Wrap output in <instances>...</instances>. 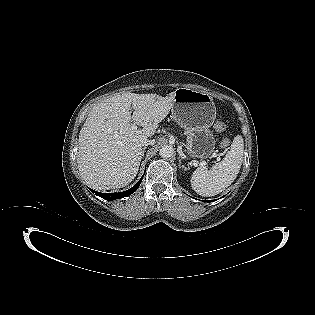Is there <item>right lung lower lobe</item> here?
Returning <instances> with one entry per match:
<instances>
[{
  "label": "right lung lower lobe",
  "mask_w": 315,
  "mask_h": 315,
  "mask_svg": "<svg viewBox=\"0 0 315 315\" xmlns=\"http://www.w3.org/2000/svg\"><path fill=\"white\" fill-rule=\"evenodd\" d=\"M141 181H142V178L136 183L135 186H133L129 190H126V191H123V192H119V193H100V192L94 191L92 189H90V190L93 193H95L96 195L102 197L103 199L111 201V200L127 197L130 194L134 193L137 190V188L139 187V185L141 184Z\"/></svg>",
  "instance_id": "obj_1"
}]
</instances>
